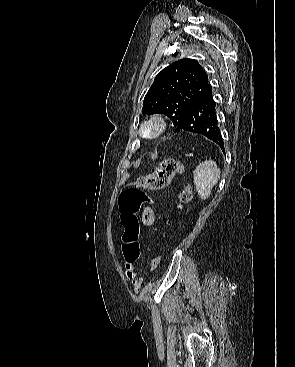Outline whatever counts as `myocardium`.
<instances>
[{
    "label": "myocardium",
    "mask_w": 295,
    "mask_h": 367,
    "mask_svg": "<svg viewBox=\"0 0 295 367\" xmlns=\"http://www.w3.org/2000/svg\"><path fill=\"white\" fill-rule=\"evenodd\" d=\"M167 129V122L161 115L154 114L146 118L139 126L141 136L147 140L159 138Z\"/></svg>",
    "instance_id": "1"
}]
</instances>
